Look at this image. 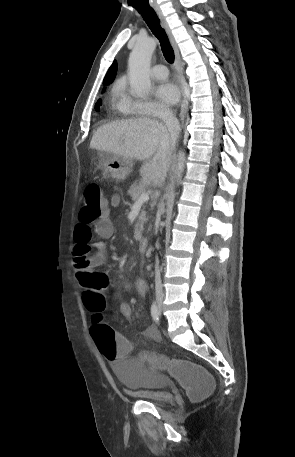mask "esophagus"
<instances>
[{
    "label": "esophagus",
    "mask_w": 295,
    "mask_h": 457,
    "mask_svg": "<svg viewBox=\"0 0 295 457\" xmlns=\"http://www.w3.org/2000/svg\"><path fill=\"white\" fill-rule=\"evenodd\" d=\"M153 8H154L159 20H160V23H161L162 27L164 28V30L167 33V36L169 38V41H170L171 46H172L173 51H174V55H175L174 65H175V69H176V72H177L179 80H180V86H181V91H182V103H181V111H180V114L182 115L185 112L186 108H187L188 99H187V95L185 94L184 87H183L184 75H183V67H182V63H181V57H180L179 49H178V46H177V44L175 42V39H174V37L172 35L170 27H169L164 15H163L162 11L160 10V8L157 5H154Z\"/></svg>",
    "instance_id": "esophagus-1"
}]
</instances>
